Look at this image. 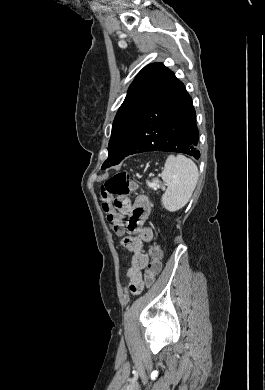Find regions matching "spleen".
I'll return each mask as SVG.
<instances>
[{"mask_svg":"<svg viewBox=\"0 0 265 390\" xmlns=\"http://www.w3.org/2000/svg\"><path fill=\"white\" fill-rule=\"evenodd\" d=\"M198 175V168L191 159L182 155L167 157L161 174L167 190L161 201L168 211H177L187 204L196 187Z\"/></svg>","mask_w":265,"mask_h":390,"instance_id":"obj_1","label":"spleen"}]
</instances>
